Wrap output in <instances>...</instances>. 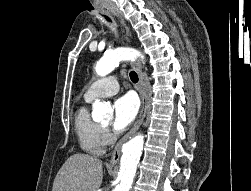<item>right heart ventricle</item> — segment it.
I'll use <instances>...</instances> for the list:
<instances>
[{"mask_svg": "<svg viewBox=\"0 0 251 191\" xmlns=\"http://www.w3.org/2000/svg\"><path fill=\"white\" fill-rule=\"evenodd\" d=\"M85 102L78 106L75 112V133L80 149L90 155H102L105 150L103 126L89 116Z\"/></svg>", "mask_w": 251, "mask_h": 191, "instance_id": "1", "label": "right heart ventricle"}]
</instances>
